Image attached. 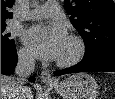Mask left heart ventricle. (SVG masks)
<instances>
[{"label":"left heart ventricle","instance_id":"1","mask_svg":"<svg viewBox=\"0 0 115 99\" xmlns=\"http://www.w3.org/2000/svg\"><path fill=\"white\" fill-rule=\"evenodd\" d=\"M74 51V46L67 40L65 47L59 58H66L70 56Z\"/></svg>","mask_w":115,"mask_h":99}]
</instances>
